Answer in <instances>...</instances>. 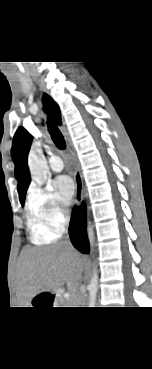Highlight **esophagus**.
<instances>
[{"mask_svg": "<svg viewBox=\"0 0 152 369\" xmlns=\"http://www.w3.org/2000/svg\"><path fill=\"white\" fill-rule=\"evenodd\" d=\"M74 172V181L76 185V193H75V204L76 207L79 208L83 202V181L82 175L77 164Z\"/></svg>", "mask_w": 152, "mask_h": 369, "instance_id": "34e87169", "label": "esophagus"}]
</instances>
